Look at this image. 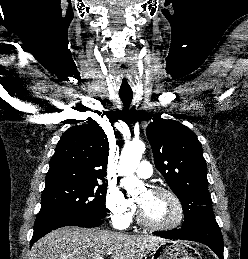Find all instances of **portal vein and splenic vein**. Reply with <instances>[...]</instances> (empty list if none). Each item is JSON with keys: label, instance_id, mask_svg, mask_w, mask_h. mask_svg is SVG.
I'll return each mask as SVG.
<instances>
[{"label": "portal vein and splenic vein", "instance_id": "obj_1", "mask_svg": "<svg viewBox=\"0 0 248 259\" xmlns=\"http://www.w3.org/2000/svg\"><path fill=\"white\" fill-rule=\"evenodd\" d=\"M99 259H104L103 257H100Z\"/></svg>", "mask_w": 248, "mask_h": 259}]
</instances>
